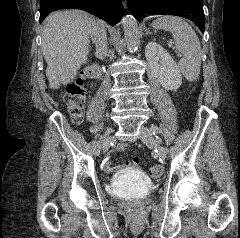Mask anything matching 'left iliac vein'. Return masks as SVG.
Segmentation results:
<instances>
[{"label": "left iliac vein", "instance_id": "4c4485c4", "mask_svg": "<svg viewBox=\"0 0 240 238\" xmlns=\"http://www.w3.org/2000/svg\"><path fill=\"white\" fill-rule=\"evenodd\" d=\"M139 138L147 146H150V147L156 146V141H155V138L153 136V131L146 126H141L140 127ZM157 149H158L159 156L162 159H165L166 155H167V152H168V149H166L165 151L161 150L160 146H157Z\"/></svg>", "mask_w": 240, "mask_h": 238}]
</instances>
